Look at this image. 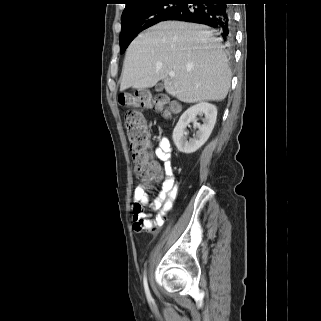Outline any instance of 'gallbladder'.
<instances>
[{
    "label": "gallbladder",
    "mask_w": 321,
    "mask_h": 321,
    "mask_svg": "<svg viewBox=\"0 0 321 321\" xmlns=\"http://www.w3.org/2000/svg\"><path fill=\"white\" fill-rule=\"evenodd\" d=\"M155 90H156L157 92H161V91L163 90V85H162L161 83L157 84V85L155 86Z\"/></svg>",
    "instance_id": "1"
}]
</instances>
